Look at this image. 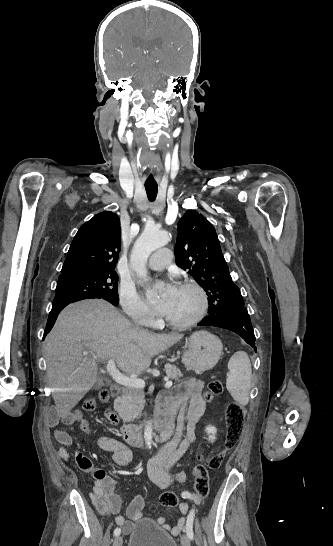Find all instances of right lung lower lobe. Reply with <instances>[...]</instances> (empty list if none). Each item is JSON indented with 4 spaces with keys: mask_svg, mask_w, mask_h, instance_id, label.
<instances>
[{
    "mask_svg": "<svg viewBox=\"0 0 333 546\" xmlns=\"http://www.w3.org/2000/svg\"><path fill=\"white\" fill-rule=\"evenodd\" d=\"M105 300H107L108 302H110L111 304H113L114 306H117L118 305V301L115 300V299H112V298H103ZM69 303H62V304H57V305H53L52 307V310L50 311V314H49V317H48V321H47V325H46V329H45V333L44 335H46L47 333L50 332V330L52 329L55 321H56V318L58 316V314L62 311L63 308H65Z\"/></svg>",
    "mask_w": 333,
    "mask_h": 546,
    "instance_id": "obj_1",
    "label": "right lung lower lobe"
}]
</instances>
